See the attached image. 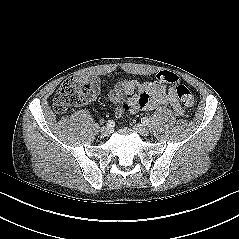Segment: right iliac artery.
<instances>
[{
	"mask_svg": "<svg viewBox=\"0 0 239 239\" xmlns=\"http://www.w3.org/2000/svg\"><path fill=\"white\" fill-rule=\"evenodd\" d=\"M107 127L111 128L115 126V122L113 120H108V122L106 123Z\"/></svg>",
	"mask_w": 239,
	"mask_h": 239,
	"instance_id": "obj_1",
	"label": "right iliac artery"
}]
</instances>
